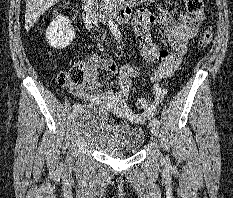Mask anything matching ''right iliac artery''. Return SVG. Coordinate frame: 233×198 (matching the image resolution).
Here are the masks:
<instances>
[{"label":"right iliac artery","mask_w":233,"mask_h":198,"mask_svg":"<svg viewBox=\"0 0 233 198\" xmlns=\"http://www.w3.org/2000/svg\"><path fill=\"white\" fill-rule=\"evenodd\" d=\"M80 109V105L79 104H75L73 106V112H77Z\"/></svg>","instance_id":"obj_1"}]
</instances>
